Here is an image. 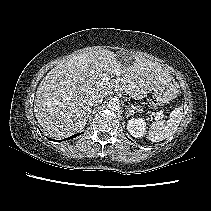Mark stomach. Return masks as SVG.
<instances>
[{"label": "stomach", "mask_w": 211, "mask_h": 211, "mask_svg": "<svg viewBox=\"0 0 211 211\" xmlns=\"http://www.w3.org/2000/svg\"><path fill=\"white\" fill-rule=\"evenodd\" d=\"M121 56L118 55V59L124 63V64H129V62L132 60L131 57L126 56L123 53ZM151 91H154L155 94V100L157 102V105H164L168 103L169 101L173 100L178 93V86L177 84L172 81V82H167L165 84H161ZM150 91L146 88H136V89H131L128 95L134 99H142L145 95H147Z\"/></svg>", "instance_id": "1"}]
</instances>
